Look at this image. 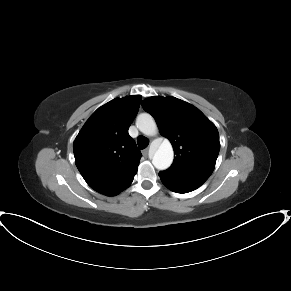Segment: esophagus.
<instances>
[{"instance_id":"34e87169","label":"esophagus","mask_w":291,"mask_h":291,"mask_svg":"<svg viewBox=\"0 0 291 291\" xmlns=\"http://www.w3.org/2000/svg\"><path fill=\"white\" fill-rule=\"evenodd\" d=\"M144 154H145V155L148 154V149L144 150Z\"/></svg>"}]
</instances>
